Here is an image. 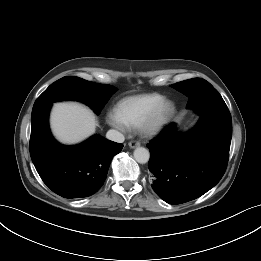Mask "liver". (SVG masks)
I'll use <instances>...</instances> for the list:
<instances>
[{
  "label": "liver",
  "mask_w": 261,
  "mask_h": 261,
  "mask_svg": "<svg viewBox=\"0 0 261 261\" xmlns=\"http://www.w3.org/2000/svg\"><path fill=\"white\" fill-rule=\"evenodd\" d=\"M55 137L62 143L75 144L91 136L98 125L94 113L73 102L56 103L50 118Z\"/></svg>",
  "instance_id": "liver-1"
}]
</instances>
